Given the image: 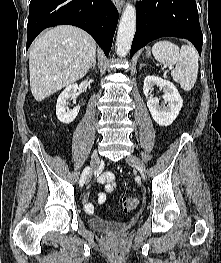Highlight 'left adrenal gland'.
Listing matches in <instances>:
<instances>
[{
  "instance_id": "obj_1",
  "label": "left adrenal gland",
  "mask_w": 221,
  "mask_h": 263,
  "mask_svg": "<svg viewBox=\"0 0 221 263\" xmlns=\"http://www.w3.org/2000/svg\"><path fill=\"white\" fill-rule=\"evenodd\" d=\"M145 66V64L140 65V67Z\"/></svg>"
}]
</instances>
